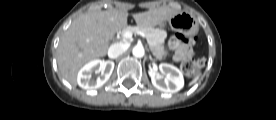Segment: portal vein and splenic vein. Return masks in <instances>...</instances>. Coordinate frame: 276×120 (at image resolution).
Returning a JSON list of instances; mask_svg holds the SVG:
<instances>
[{"label": "portal vein and splenic vein", "mask_w": 276, "mask_h": 120, "mask_svg": "<svg viewBox=\"0 0 276 120\" xmlns=\"http://www.w3.org/2000/svg\"><path fill=\"white\" fill-rule=\"evenodd\" d=\"M135 33L138 34V35H140V36H142L143 38H146L145 33L142 32V31H136ZM132 35H133V32L126 31V32L123 33V38L128 40V39L132 38Z\"/></svg>", "instance_id": "portal-vein-and-splenic-vein-1"}]
</instances>
